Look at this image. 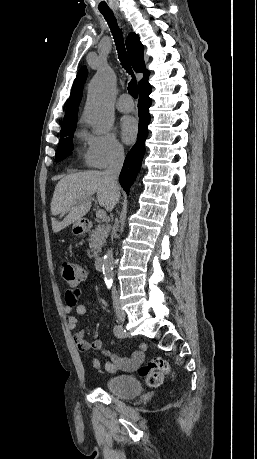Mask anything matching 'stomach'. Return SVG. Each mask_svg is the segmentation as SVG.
I'll use <instances>...</instances> for the list:
<instances>
[{"label": "stomach", "mask_w": 257, "mask_h": 459, "mask_svg": "<svg viewBox=\"0 0 257 459\" xmlns=\"http://www.w3.org/2000/svg\"><path fill=\"white\" fill-rule=\"evenodd\" d=\"M73 229H78V230H80L79 233H81L83 231V227H82L81 221L74 223L73 224Z\"/></svg>", "instance_id": "0dacf381"}]
</instances>
